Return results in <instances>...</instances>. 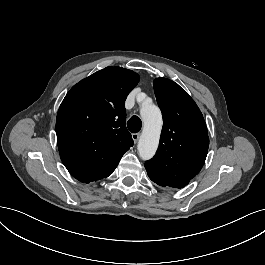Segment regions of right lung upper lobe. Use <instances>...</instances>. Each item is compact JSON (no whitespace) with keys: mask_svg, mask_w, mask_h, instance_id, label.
<instances>
[{"mask_svg":"<svg viewBox=\"0 0 265 265\" xmlns=\"http://www.w3.org/2000/svg\"><path fill=\"white\" fill-rule=\"evenodd\" d=\"M139 79L131 70L106 67L70 89L56 119L57 144L64 165H118L134 144L125 127L124 104Z\"/></svg>","mask_w":265,"mask_h":265,"instance_id":"right-lung-upper-lobe-1","label":"right lung upper lobe"}]
</instances>
